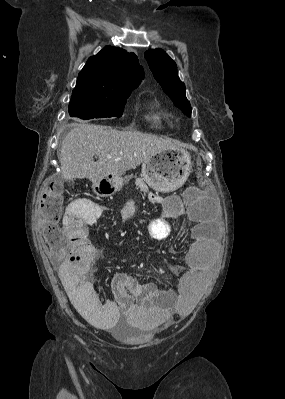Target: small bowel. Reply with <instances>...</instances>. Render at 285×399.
Masks as SVG:
<instances>
[{"label":"small bowel","instance_id":"small-bowel-1","mask_svg":"<svg viewBox=\"0 0 285 399\" xmlns=\"http://www.w3.org/2000/svg\"><path fill=\"white\" fill-rule=\"evenodd\" d=\"M137 186L142 189L140 184ZM151 203L161 205L163 215L148 224V233L154 239H167L172 230L171 217H193V209L184 205L177 197L163 201L158 195L149 193ZM101 208L91 202L77 198L69 203L63 219L67 236L69 256L59 259L58 274L62 286L74 308L96 327L104 330L115 328L121 321L133 323L144 330L165 328L175 319L182 320L194 310L208 279L205 261V239L198 230L184 254L185 270L178 277L175 290L160 289L153 283H140L126 273L115 277L111 285L112 299L102 302L89 280V265L93 252L89 245L88 227L98 222ZM76 212L83 219H77ZM134 204L128 199L122 208L123 216L134 218Z\"/></svg>","mask_w":285,"mask_h":399}]
</instances>
